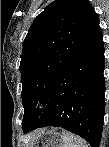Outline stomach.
<instances>
[{"label":"stomach","mask_w":109,"mask_h":147,"mask_svg":"<svg viewBox=\"0 0 109 147\" xmlns=\"http://www.w3.org/2000/svg\"><path fill=\"white\" fill-rule=\"evenodd\" d=\"M64 131L44 129L31 137L26 147H64Z\"/></svg>","instance_id":"obj_1"}]
</instances>
